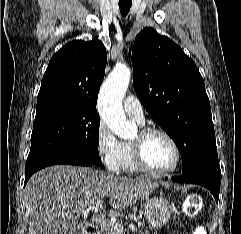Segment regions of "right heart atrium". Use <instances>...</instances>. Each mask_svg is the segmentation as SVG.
I'll return each mask as SVG.
<instances>
[{
  "mask_svg": "<svg viewBox=\"0 0 241 234\" xmlns=\"http://www.w3.org/2000/svg\"><path fill=\"white\" fill-rule=\"evenodd\" d=\"M95 148L99 159L108 171H119L121 142L103 122L99 123L96 129Z\"/></svg>",
  "mask_w": 241,
  "mask_h": 234,
  "instance_id": "obj_1",
  "label": "right heart atrium"
}]
</instances>
